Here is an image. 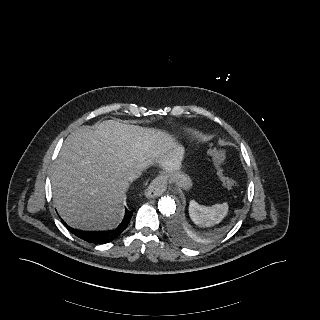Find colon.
Wrapping results in <instances>:
<instances>
[{
	"mask_svg": "<svg viewBox=\"0 0 320 320\" xmlns=\"http://www.w3.org/2000/svg\"><path fill=\"white\" fill-rule=\"evenodd\" d=\"M212 155L215 160L216 171L221 184L228 189L233 188L236 185V181L228 175L224 167V164H225L224 152L221 150L213 149Z\"/></svg>",
	"mask_w": 320,
	"mask_h": 320,
	"instance_id": "1",
	"label": "colon"
}]
</instances>
